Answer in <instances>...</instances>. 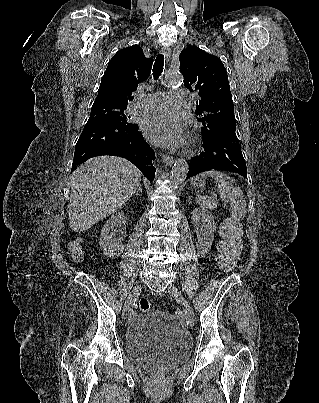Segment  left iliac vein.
Returning a JSON list of instances; mask_svg holds the SVG:
<instances>
[{"label":"left iliac vein","instance_id":"1","mask_svg":"<svg viewBox=\"0 0 319 403\" xmlns=\"http://www.w3.org/2000/svg\"><path fill=\"white\" fill-rule=\"evenodd\" d=\"M168 292L178 303L183 306L185 318L189 326L193 327L195 322L194 312L188 301L185 300L182 292L175 285L172 284L168 287Z\"/></svg>","mask_w":319,"mask_h":403}]
</instances>
